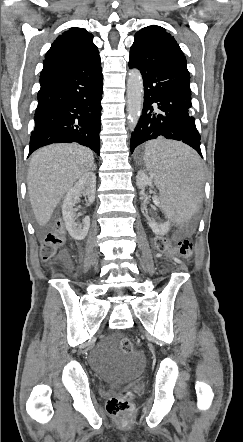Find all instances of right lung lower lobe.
I'll list each match as a JSON object with an SVG mask.
<instances>
[{
    "label": "right lung lower lobe",
    "instance_id": "right-lung-lower-lobe-1",
    "mask_svg": "<svg viewBox=\"0 0 243 442\" xmlns=\"http://www.w3.org/2000/svg\"><path fill=\"white\" fill-rule=\"evenodd\" d=\"M29 155L52 143L77 142L99 154L103 76L100 56L41 73Z\"/></svg>",
    "mask_w": 243,
    "mask_h": 442
}]
</instances>
